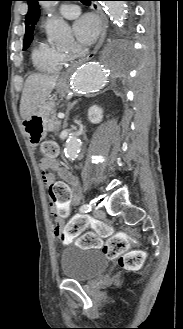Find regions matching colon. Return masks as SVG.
Here are the masks:
<instances>
[{
  "label": "colon",
  "mask_w": 183,
  "mask_h": 329,
  "mask_svg": "<svg viewBox=\"0 0 183 329\" xmlns=\"http://www.w3.org/2000/svg\"><path fill=\"white\" fill-rule=\"evenodd\" d=\"M40 151L44 159L52 160L57 157L59 147L54 141H45L42 143ZM88 225H92L95 232L82 234ZM62 237L65 239L79 237L78 244L83 248H102L107 258L118 259L119 265L128 270L138 268L147 256V253L142 250L128 251L131 240L127 236L113 234L107 224L90 222L84 217L70 220L62 231ZM102 238H105L106 241L103 242Z\"/></svg>",
  "instance_id": "obj_1"
}]
</instances>
